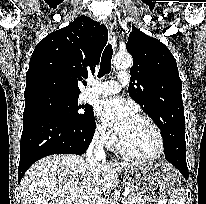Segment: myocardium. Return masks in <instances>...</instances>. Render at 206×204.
Listing matches in <instances>:
<instances>
[{
	"mask_svg": "<svg viewBox=\"0 0 206 204\" xmlns=\"http://www.w3.org/2000/svg\"><path fill=\"white\" fill-rule=\"evenodd\" d=\"M135 117H138L144 121H146L151 128L154 130L156 137L158 139V150L156 153L152 154V155H138L135 153L130 152L123 144L122 139H120L119 141V150L120 152L131 159L134 160H139V161H146V162H151V161H156L158 159H160L166 152V142H165V138L164 135L160 129V127L158 126V124L147 114L144 113H136Z\"/></svg>",
	"mask_w": 206,
	"mask_h": 204,
	"instance_id": "obj_1",
	"label": "myocardium"
}]
</instances>
